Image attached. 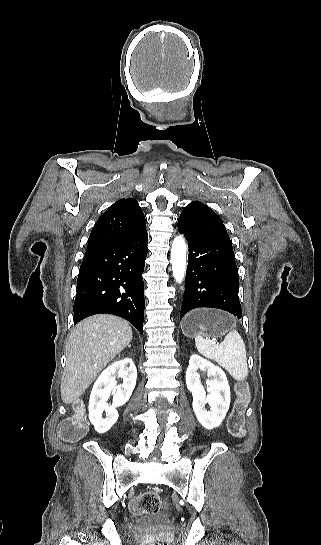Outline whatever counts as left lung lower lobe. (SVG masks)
I'll use <instances>...</instances> for the list:
<instances>
[{"label": "left lung lower lobe", "mask_w": 321, "mask_h": 545, "mask_svg": "<svg viewBox=\"0 0 321 545\" xmlns=\"http://www.w3.org/2000/svg\"><path fill=\"white\" fill-rule=\"evenodd\" d=\"M178 230L186 235L189 247L180 319L198 307L222 309L241 318L238 269L222 219L206 205L194 202L183 209Z\"/></svg>", "instance_id": "0a47b994"}]
</instances>
